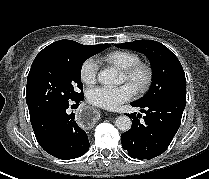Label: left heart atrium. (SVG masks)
I'll return each instance as SVG.
<instances>
[{"label":"left heart atrium","instance_id":"left-heart-atrium-1","mask_svg":"<svg viewBox=\"0 0 209 179\" xmlns=\"http://www.w3.org/2000/svg\"><path fill=\"white\" fill-rule=\"evenodd\" d=\"M135 94L131 84H124L119 87H98L89 91L88 100L98 107L114 110L124 102L130 100Z\"/></svg>","mask_w":209,"mask_h":179}]
</instances>
